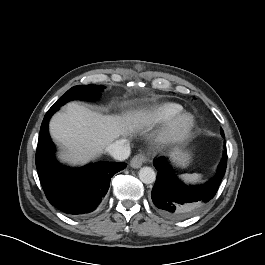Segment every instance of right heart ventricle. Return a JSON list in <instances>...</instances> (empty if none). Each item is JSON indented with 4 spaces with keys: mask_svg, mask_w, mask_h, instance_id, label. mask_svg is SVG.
I'll return each mask as SVG.
<instances>
[{
    "mask_svg": "<svg viewBox=\"0 0 265 265\" xmlns=\"http://www.w3.org/2000/svg\"><path fill=\"white\" fill-rule=\"evenodd\" d=\"M182 110L183 107L180 104L166 102L141 111L139 116L143 119L146 125L154 126L161 122L168 121Z\"/></svg>",
    "mask_w": 265,
    "mask_h": 265,
    "instance_id": "obj_1",
    "label": "right heart ventricle"
}]
</instances>
